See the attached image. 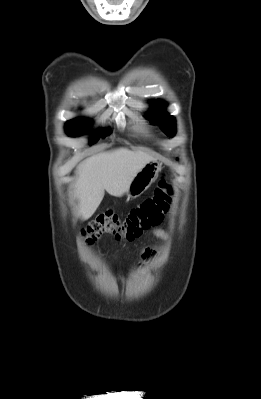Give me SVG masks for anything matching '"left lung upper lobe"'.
<instances>
[{"label": "left lung upper lobe", "instance_id": "left-lung-upper-lobe-1", "mask_svg": "<svg viewBox=\"0 0 261 399\" xmlns=\"http://www.w3.org/2000/svg\"><path fill=\"white\" fill-rule=\"evenodd\" d=\"M166 103L163 101H153L152 109L146 115V118L151 123H159L161 124L162 130L170 137H173L176 133L175 130V119L170 114L164 111Z\"/></svg>", "mask_w": 261, "mask_h": 399}]
</instances>
